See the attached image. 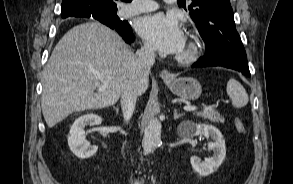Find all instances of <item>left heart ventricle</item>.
Wrapping results in <instances>:
<instances>
[{
	"label": "left heart ventricle",
	"instance_id": "left-heart-ventricle-1",
	"mask_svg": "<svg viewBox=\"0 0 293 184\" xmlns=\"http://www.w3.org/2000/svg\"><path fill=\"white\" fill-rule=\"evenodd\" d=\"M189 48L188 40L185 39L184 44L178 53H185Z\"/></svg>",
	"mask_w": 293,
	"mask_h": 184
}]
</instances>
